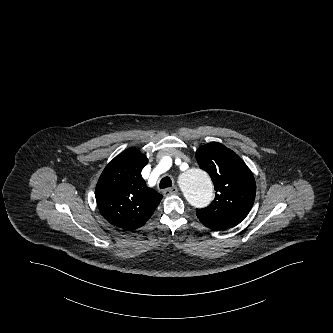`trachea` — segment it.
Wrapping results in <instances>:
<instances>
[{"label": "trachea", "mask_w": 333, "mask_h": 333, "mask_svg": "<svg viewBox=\"0 0 333 333\" xmlns=\"http://www.w3.org/2000/svg\"><path fill=\"white\" fill-rule=\"evenodd\" d=\"M172 186V180L169 177H164L161 179L159 187L161 189L168 188Z\"/></svg>", "instance_id": "1"}]
</instances>
